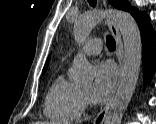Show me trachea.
Segmentation results:
<instances>
[{"mask_svg":"<svg viewBox=\"0 0 156 124\" xmlns=\"http://www.w3.org/2000/svg\"><path fill=\"white\" fill-rule=\"evenodd\" d=\"M88 2L93 7L96 5V0H88ZM106 45H107L109 50H114L115 49V40L113 39L112 36L108 35L106 37Z\"/></svg>","mask_w":156,"mask_h":124,"instance_id":"1","label":"trachea"}]
</instances>
